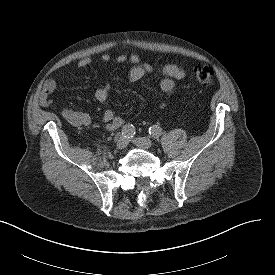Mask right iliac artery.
<instances>
[{"mask_svg":"<svg viewBox=\"0 0 275 275\" xmlns=\"http://www.w3.org/2000/svg\"><path fill=\"white\" fill-rule=\"evenodd\" d=\"M121 133L127 138H132L135 135V128L132 124H127L122 128Z\"/></svg>","mask_w":275,"mask_h":275,"instance_id":"82829eb1","label":"right iliac artery"}]
</instances>
